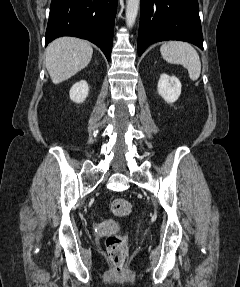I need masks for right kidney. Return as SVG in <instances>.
Returning a JSON list of instances; mask_svg holds the SVG:
<instances>
[{"label":"right kidney","instance_id":"right-kidney-1","mask_svg":"<svg viewBox=\"0 0 240 287\" xmlns=\"http://www.w3.org/2000/svg\"><path fill=\"white\" fill-rule=\"evenodd\" d=\"M89 86L86 81L75 83L70 89V99L76 103H83L88 96Z\"/></svg>","mask_w":240,"mask_h":287}]
</instances>
